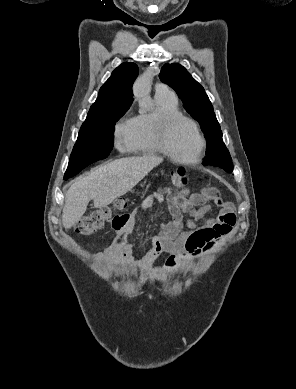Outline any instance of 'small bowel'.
Wrapping results in <instances>:
<instances>
[{"mask_svg":"<svg viewBox=\"0 0 296 389\" xmlns=\"http://www.w3.org/2000/svg\"><path fill=\"white\" fill-rule=\"evenodd\" d=\"M166 199L170 220L163 224L161 231L153 238L154 250L171 253L169 268L188 262L208 252L222 236L228 235L236 224L233 204L218 197L215 191L206 194H185L172 188H161L156 195L146 197L131 213L125 215L124 223H112L115 233L111 243L97 254L103 262L117 264L129 260L131 245L128 236L134 229L141 213L151 210L156 201ZM213 201L220 211L214 218H208V202ZM187 214L188 219L183 215ZM198 222H203L198 225Z\"/></svg>","mask_w":296,"mask_h":389,"instance_id":"obj_1","label":"small bowel"}]
</instances>
